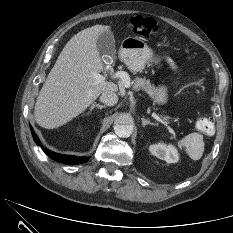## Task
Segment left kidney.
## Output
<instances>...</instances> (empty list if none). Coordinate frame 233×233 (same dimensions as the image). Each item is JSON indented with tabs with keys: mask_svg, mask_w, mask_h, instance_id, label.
<instances>
[{
	"mask_svg": "<svg viewBox=\"0 0 233 233\" xmlns=\"http://www.w3.org/2000/svg\"><path fill=\"white\" fill-rule=\"evenodd\" d=\"M149 151L157 158L166 161L167 163H176L179 160L177 149L173 145L158 143L149 146Z\"/></svg>",
	"mask_w": 233,
	"mask_h": 233,
	"instance_id": "5707ae66",
	"label": "left kidney"
}]
</instances>
